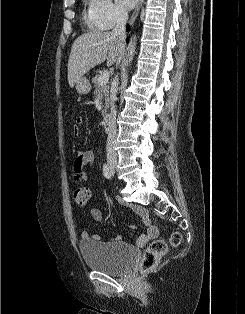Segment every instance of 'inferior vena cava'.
<instances>
[{"label":"inferior vena cava","instance_id":"1","mask_svg":"<svg viewBox=\"0 0 245 314\" xmlns=\"http://www.w3.org/2000/svg\"><path fill=\"white\" fill-rule=\"evenodd\" d=\"M128 20V13L125 10H119L115 16V27L113 29L114 36L118 39L121 44V54L125 48V39H126V23ZM121 57H119L117 61V65L120 63ZM118 88V79L117 77L114 79L112 83L111 90V109H110V121H109V130H108V138H107V161L109 162H117V154H116V108H115V100Z\"/></svg>","mask_w":245,"mask_h":314}]
</instances>
